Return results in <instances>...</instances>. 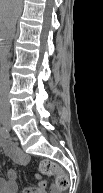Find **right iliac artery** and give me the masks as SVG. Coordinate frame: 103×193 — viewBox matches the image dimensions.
I'll return each instance as SVG.
<instances>
[{"label":"right iliac artery","instance_id":"82829eb1","mask_svg":"<svg viewBox=\"0 0 103 193\" xmlns=\"http://www.w3.org/2000/svg\"><path fill=\"white\" fill-rule=\"evenodd\" d=\"M0 134L4 138H8L10 136L9 131L5 127H1Z\"/></svg>","mask_w":103,"mask_h":193}]
</instances>
